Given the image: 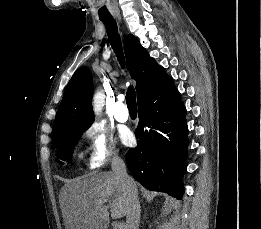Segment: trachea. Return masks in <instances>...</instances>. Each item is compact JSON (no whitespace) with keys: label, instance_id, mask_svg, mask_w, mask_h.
Wrapping results in <instances>:
<instances>
[{"label":"trachea","instance_id":"trachea-1","mask_svg":"<svg viewBox=\"0 0 261 229\" xmlns=\"http://www.w3.org/2000/svg\"><path fill=\"white\" fill-rule=\"evenodd\" d=\"M100 20L105 24L109 42L111 43L120 64L124 63L123 52L121 48V40L118 34V29L115 20L111 16L100 17ZM126 103L130 113L137 112L136 93L133 86L128 88L126 93Z\"/></svg>","mask_w":261,"mask_h":229}]
</instances>
